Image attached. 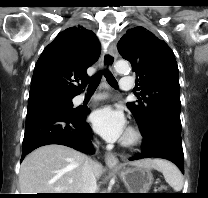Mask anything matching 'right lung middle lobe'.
<instances>
[{"label": "right lung middle lobe", "instance_id": "obj_1", "mask_svg": "<svg viewBox=\"0 0 208 198\" xmlns=\"http://www.w3.org/2000/svg\"><path fill=\"white\" fill-rule=\"evenodd\" d=\"M40 109H65L72 112L80 111L81 108H73L72 99H63L41 103L32 107H28V112Z\"/></svg>", "mask_w": 208, "mask_h": 198}]
</instances>
